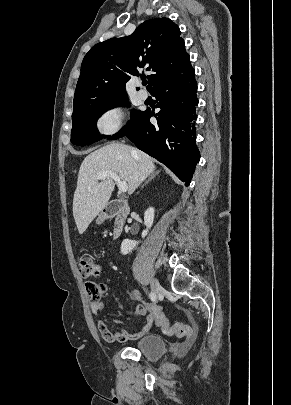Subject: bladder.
Returning <instances> with one entry per match:
<instances>
[{
	"mask_svg": "<svg viewBox=\"0 0 291 405\" xmlns=\"http://www.w3.org/2000/svg\"><path fill=\"white\" fill-rule=\"evenodd\" d=\"M133 348L150 360L161 358L167 350L165 340L157 334H146L140 337Z\"/></svg>",
	"mask_w": 291,
	"mask_h": 405,
	"instance_id": "obj_1",
	"label": "bladder"
}]
</instances>
